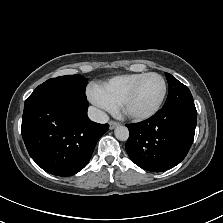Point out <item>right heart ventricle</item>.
Masks as SVG:
<instances>
[{
  "mask_svg": "<svg viewBox=\"0 0 223 223\" xmlns=\"http://www.w3.org/2000/svg\"><path fill=\"white\" fill-rule=\"evenodd\" d=\"M145 72L117 75L98 86L103 96L116 108L128 90L139 80Z\"/></svg>",
  "mask_w": 223,
  "mask_h": 223,
  "instance_id": "obj_1",
  "label": "right heart ventricle"
}]
</instances>
